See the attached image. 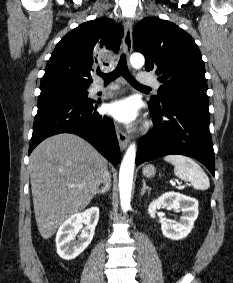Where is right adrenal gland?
<instances>
[{"instance_id":"obj_1","label":"right adrenal gland","mask_w":233,"mask_h":283,"mask_svg":"<svg viewBox=\"0 0 233 283\" xmlns=\"http://www.w3.org/2000/svg\"><path fill=\"white\" fill-rule=\"evenodd\" d=\"M109 188H110V182H106L105 185L101 189L97 190L95 195L106 194L108 192Z\"/></svg>"}]
</instances>
